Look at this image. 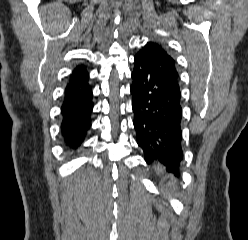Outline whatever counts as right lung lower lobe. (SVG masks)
<instances>
[{
	"mask_svg": "<svg viewBox=\"0 0 248 240\" xmlns=\"http://www.w3.org/2000/svg\"><path fill=\"white\" fill-rule=\"evenodd\" d=\"M92 96L88 72L71 75L61 107V134L70 148H77L83 142L91 126Z\"/></svg>",
	"mask_w": 248,
	"mask_h": 240,
	"instance_id": "1",
	"label": "right lung lower lobe"
}]
</instances>
